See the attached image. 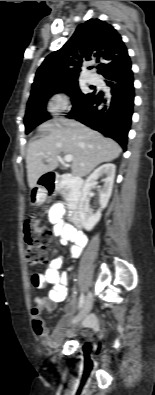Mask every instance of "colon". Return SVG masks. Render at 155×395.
Segmentation results:
<instances>
[{"mask_svg":"<svg viewBox=\"0 0 155 395\" xmlns=\"http://www.w3.org/2000/svg\"><path fill=\"white\" fill-rule=\"evenodd\" d=\"M23 234L27 264L38 266L44 263L47 259V246L52 239L50 229L40 225L38 220L32 217L25 222Z\"/></svg>","mask_w":155,"mask_h":395,"instance_id":"5ec220e1","label":"colon"}]
</instances>
